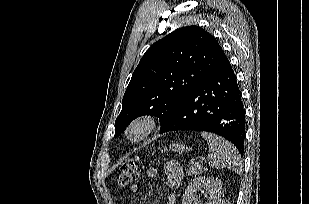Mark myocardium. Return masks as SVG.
Listing matches in <instances>:
<instances>
[{
	"mask_svg": "<svg viewBox=\"0 0 309 204\" xmlns=\"http://www.w3.org/2000/svg\"><path fill=\"white\" fill-rule=\"evenodd\" d=\"M158 120L152 114H144L133 119L125 129V137L131 143H139L157 128Z\"/></svg>",
	"mask_w": 309,
	"mask_h": 204,
	"instance_id": "myocardium-1",
	"label": "myocardium"
}]
</instances>
